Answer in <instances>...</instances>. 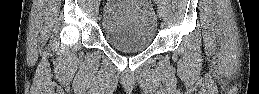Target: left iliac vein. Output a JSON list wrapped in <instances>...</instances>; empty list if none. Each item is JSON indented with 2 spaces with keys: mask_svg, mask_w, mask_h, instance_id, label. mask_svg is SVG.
<instances>
[{
  "mask_svg": "<svg viewBox=\"0 0 259 94\" xmlns=\"http://www.w3.org/2000/svg\"><path fill=\"white\" fill-rule=\"evenodd\" d=\"M158 13H159V16L161 17V18H163V16H164V11H163V7H162V5L159 3L158 5Z\"/></svg>",
  "mask_w": 259,
  "mask_h": 94,
  "instance_id": "left-iliac-vein-1",
  "label": "left iliac vein"
}]
</instances>
